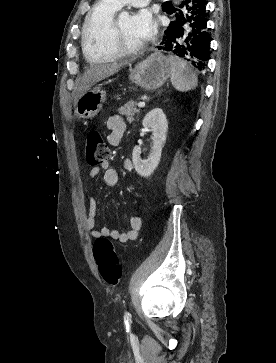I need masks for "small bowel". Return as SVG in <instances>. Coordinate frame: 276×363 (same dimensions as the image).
<instances>
[{"instance_id": "1", "label": "small bowel", "mask_w": 276, "mask_h": 363, "mask_svg": "<svg viewBox=\"0 0 276 363\" xmlns=\"http://www.w3.org/2000/svg\"><path fill=\"white\" fill-rule=\"evenodd\" d=\"M106 126L109 130L107 137L108 143L111 146H117L120 143L123 133L126 130L125 120L118 115L111 116L107 119ZM124 168L128 171L133 170V164L130 160L124 161ZM103 172V181L107 186L114 187L118 184L119 176L116 169L112 168L108 162L102 165L93 167L90 170L89 177L91 180L95 179L100 172ZM88 213L86 217V229L90 236L93 238L109 237L120 243H127L135 241L138 238L139 231L142 227V203L139 202L136 206L133 216L129 220L128 229L124 232H120L113 228L102 227L96 228L95 216H96V201L93 197L88 199Z\"/></svg>"}]
</instances>
